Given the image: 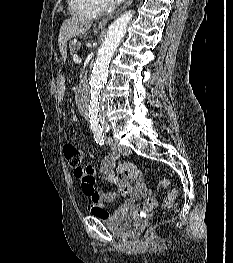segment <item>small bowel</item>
Returning a JSON list of instances; mask_svg holds the SVG:
<instances>
[{
	"mask_svg": "<svg viewBox=\"0 0 233 263\" xmlns=\"http://www.w3.org/2000/svg\"><path fill=\"white\" fill-rule=\"evenodd\" d=\"M85 167L90 170L88 174L75 175L81 179L82 192L90 199V210L94 216L100 219L109 218L110 215L104 204L114 201L119 196L124 198L120 208L133 209L135 202L144 198L145 211L150 212L158 207L157 200L150 197L143 173L135 163L118 164V156L110 154L98 167L91 165ZM97 177L114 187L107 190L98 189Z\"/></svg>",
	"mask_w": 233,
	"mask_h": 263,
	"instance_id": "small-bowel-1",
	"label": "small bowel"
}]
</instances>
